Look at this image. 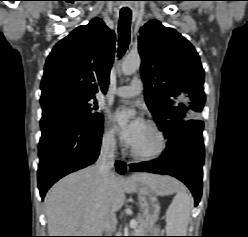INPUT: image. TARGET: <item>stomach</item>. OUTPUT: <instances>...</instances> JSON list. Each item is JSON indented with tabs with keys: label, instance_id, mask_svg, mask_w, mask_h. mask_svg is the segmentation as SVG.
<instances>
[{
	"label": "stomach",
	"instance_id": "0dacf381",
	"mask_svg": "<svg viewBox=\"0 0 248 237\" xmlns=\"http://www.w3.org/2000/svg\"><path fill=\"white\" fill-rule=\"evenodd\" d=\"M175 187V184H167L160 190V192H156L154 189L147 185H141L138 188V200L142 216L149 224V226L146 228L147 232H150L154 229V224L160 214V203L158 201V196L172 193Z\"/></svg>",
	"mask_w": 248,
	"mask_h": 237
}]
</instances>
